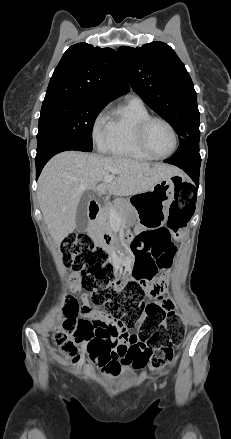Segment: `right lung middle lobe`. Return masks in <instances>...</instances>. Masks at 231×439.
<instances>
[{
  "label": "right lung middle lobe",
  "instance_id": "obj_1",
  "mask_svg": "<svg viewBox=\"0 0 231 439\" xmlns=\"http://www.w3.org/2000/svg\"><path fill=\"white\" fill-rule=\"evenodd\" d=\"M106 104L87 100L43 103L37 134V156L59 142L75 143L92 151L94 121Z\"/></svg>",
  "mask_w": 231,
  "mask_h": 439
}]
</instances>
